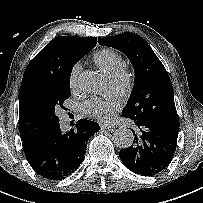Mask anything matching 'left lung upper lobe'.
I'll list each match as a JSON object with an SVG mask.
<instances>
[{
    "label": "left lung upper lobe",
    "instance_id": "obj_1",
    "mask_svg": "<svg viewBox=\"0 0 203 203\" xmlns=\"http://www.w3.org/2000/svg\"><path fill=\"white\" fill-rule=\"evenodd\" d=\"M100 45L123 52L135 71V82L122 116L135 121L179 122L170 77L148 43L129 33L99 37Z\"/></svg>",
    "mask_w": 203,
    "mask_h": 203
}]
</instances>
